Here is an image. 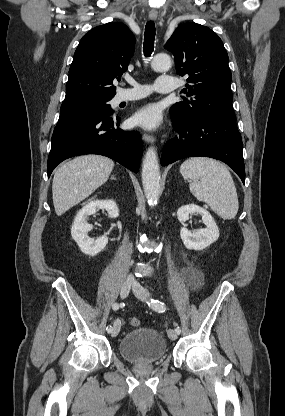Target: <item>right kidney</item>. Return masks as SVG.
Wrapping results in <instances>:
<instances>
[{"mask_svg":"<svg viewBox=\"0 0 285 416\" xmlns=\"http://www.w3.org/2000/svg\"><path fill=\"white\" fill-rule=\"evenodd\" d=\"M98 210H106L109 218H118L119 216V208L113 200H93V202H89L79 210L71 228L73 240H75L81 252L87 254V256H96L108 244L107 236H100V238L94 240V238H89L87 234L93 228L92 224H87V218L96 214Z\"/></svg>","mask_w":285,"mask_h":416,"instance_id":"1","label":"right kidney"}]
</instances>
